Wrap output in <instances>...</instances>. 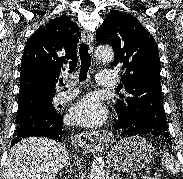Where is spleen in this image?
Wrapping results in <instances>:
<instances>
[{
	"mask_svg": "<svg viewBox=\"0 0 183 179\" xmlns=\"http://www.w3.org/2000/svg\"><path fill=\"white\" fill-rule=\"evenodd\" d=\"M161 164L172 174H177L180 171L179 162L169 153H164L161 159Z\"/></svg>",
	"mask_w": 183,
	"mask_h": 179,
	"instance_id": "1",
	"label": "spleen"
}]
</instances>
